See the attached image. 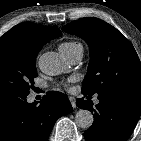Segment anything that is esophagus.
Wrapping results in <instances>:
<instances>
[{
  "instance_id": "obj_1",
  "label": "esophagus",
  "mask_w": 141,
  "mask_h": 141,
  "mask_svg": "<svg viewBox=\"0 0 141 141\" xmlns=\"http://www.w3.org/2000/svg\"><path fill=\"white\" fill-rule=\"evenodd\" d=\"M69 101H70L72 107H73V108H76V100H75V98L72 97V96H70V97H69Z\"/></svg>"
}]
</instances>
